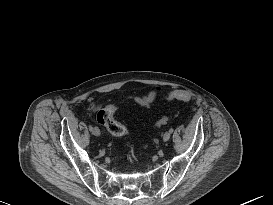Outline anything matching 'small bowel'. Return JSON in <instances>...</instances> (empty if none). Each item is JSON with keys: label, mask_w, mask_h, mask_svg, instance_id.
Segmentation results:
<instances>
[{"label": "small bowel", "mask_w": 273, "mask_h": 205, "mask_svg": "<svg viewBox=\"0 0 273 205\" xmlns=\"http://www.w3.org/2000/svg\"><path fill=\"white\" fill-rule=\"evenodd\" d=\"M160 88H155L149 91L147 94L142 96H133L131 97L139 105L149 108L155 101L157 94L160 92Z\"/></svg>", "instance_id": "small-bowel-1"}]
</instances>
